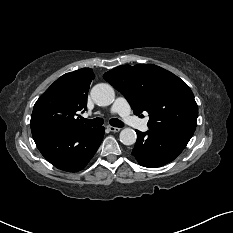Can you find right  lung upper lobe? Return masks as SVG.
Segmentation results:
<instances>
[{"label":"right lung upper lobe","instance_id":"right-lung-upper-lobe-1","mask_svg":"<svg viewBox=\"0 0 233 233\" xmlns=\"http://www.w3.org/2000/svg\"><path fill=\"white\" fill-rule=\"evenodd\" d=\"M94 77L90 68H83L57 79L34 105L30 122L32 135L88 129L76 115L86 110L88 90Z\"/></svg>","mask_w":233,"mask_h":233}]
</instances>
